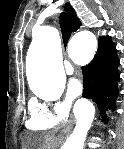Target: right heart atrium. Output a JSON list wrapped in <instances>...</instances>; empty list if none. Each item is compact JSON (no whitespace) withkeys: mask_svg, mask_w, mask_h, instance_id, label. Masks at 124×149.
Returning <instances> with one entry per match:
<instances>
[{"mask_svg":"<svg viewBox=\"0 0 124 149\" xmlns=\"http://www.w3.org/2000/svg\"><path fill=\"white\" fill-rule=\"evenodd\" d=\"M70 110V102H46L33 100L30 104L29 126L38 130H48L57 127Z\"/></svg>","mask_w":124,"mask_h":149,"instance_id":"d8ad5b80","label":"right heart atrium"}]
</instances>
